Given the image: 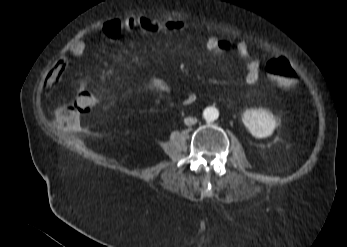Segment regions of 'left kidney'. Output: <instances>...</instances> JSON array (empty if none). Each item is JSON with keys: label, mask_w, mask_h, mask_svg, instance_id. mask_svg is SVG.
Instances as JSON below:
<instances>
[{"label": "left kidney", "mask_w": 347, "mask_h": 247, "mask_svg": "<svg viewBox=\"0 0 347 247\" xmlns=\"http://www.w3.org/2000/svg\"><path fill=\"white\" fill-rule=\"evenodd\" d=\"M242 121L256 138L270 136L278 125L273 113L267 109L248 110L243 114Z\"/></svg>", "instance_id": "obj_1"}]
</instances>
